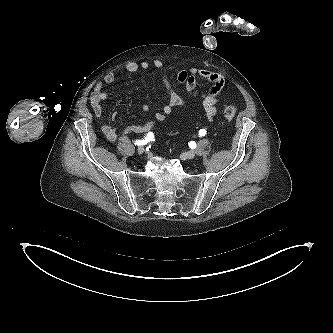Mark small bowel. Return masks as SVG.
<instances>
[{
	"label": "small bowel",
	"mask_w": 333,
	"mask_h": 333,
	"mask_svg": "<svg viewBox=\"0 0 333 333\" xmlns=\"http://www.w3.org/2000/svg\"><path fill=\"white\" fill-rule=\"evenodd\" d=\"M154 67L162 73V83L166 92L167 102L160 112L155 114L156 119L163 120L175 108L186 107V101L174 90L171 80L164 71V65L160 60L152 62H128L125 69L128 72L135 73L141 70H147ZM202 78L210 83L211 87L206 92L197 90V79ZM176 80L183 85L189 93L202 99L203 110L206 117L212 121L217 113V104L219 97L225 85L224 77L209 69L190 68L188 70H179L176 74ZM115 81L114 73L106 74L102 81L97 83L92 91L90 102L97 118L102 116V103L107 99V93L104 91L105 85H111ZM143 111H148V105L142 106ZM154 126L153 121H147L138 125H129L122 131L124 135L132 133H146ZM101 130L109 141L117 139V131L113 125L101 123Z\"/></svg>",
	"instance_id": "small-bowel-1"
}]
</instances>
